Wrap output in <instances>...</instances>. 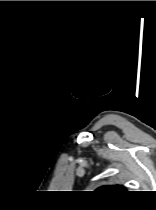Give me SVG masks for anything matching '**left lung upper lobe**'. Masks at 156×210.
Listing matches in <instances>:
<instances>
[{"label": "left lung upper lobe", "mask_w": 156, "mask_h": 210, "mask_svg": "<svg viewBox=\"0 0 156 210\" xmlns=\"http://www.w3.org/2000/svg\"><path fill=\"white\" fill-rule=\"evenodd\" d=\"M98 191L101 192H112V193H121L125 191V188L120 185H114V186H103L98 189Z\"/></svg>", "instance_id": "left-lung-upper-lobe-1"}]
</instances>
